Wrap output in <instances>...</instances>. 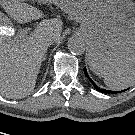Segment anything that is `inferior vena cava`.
I'll list each match as a JSON object with an SVG mask.
<instances>
[{"instance_id": "1", "label": "inferior vena cava", "mask_w": 135, "mask_h": 135, "mask_svg": "<svg viewBox=\"0 0 135 135\" xmlns=\"http://www.w3.org/2000/svg\"><path fill=\"white\" fill-rule=\"evenodd\" d=\"M47 42H48V44L50 45V44H52L53 42H54V37H49L48 39H47Z\"/></svg>"}]
</instances>
